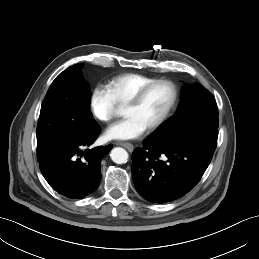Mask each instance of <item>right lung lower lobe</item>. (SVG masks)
<instances>
[{
    "mask_svg": "<svg viewBox=\"0 0 259 259\" xmlns=\"http://www.w3.org/2000/svg\"><path fill=\"white\" fill-rule=\"evenodd\" d=\"M100 127L93 124L72 136L56 137L37 148V160L42 175L61 195L82 199L99 186L101 160L112 145L87 149L97 139Z\"/></svg>",
    "mask_w": 259,
    "mask_h": 259,
    "instance_id": "1",
    "label": "right lung lower lobe"
}]
</instances>
